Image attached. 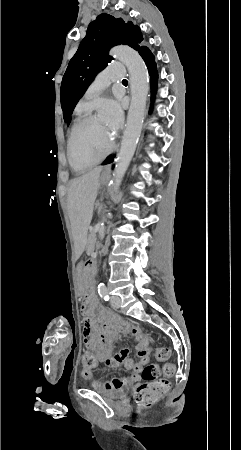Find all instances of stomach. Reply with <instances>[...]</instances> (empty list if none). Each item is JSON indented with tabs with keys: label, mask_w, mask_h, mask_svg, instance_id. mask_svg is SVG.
I'll list each match as a JSON object with an SVG mask.
<instances>
[{
	"label": "stomach",
	"mask_w": 241,
	"mask_h": 450,
	"mask_svg": "<svg viewBox=\"0 0 241 450\" xmlns=\"http://www.w3.org/2000/svg\"><path fill=\"white\" fill-rule=\"evenodd\" d=\"M106 179H107L106 175H102L101 178H100V183H104L106 181ZM76 281H77V285L79 287V290L81 292H84V290H85V281H84V273H83V264L82 263L78 264V266H77V278H76Z\"/></svg>",
	"instance_id": "0dacf381"
}]
</instances>
